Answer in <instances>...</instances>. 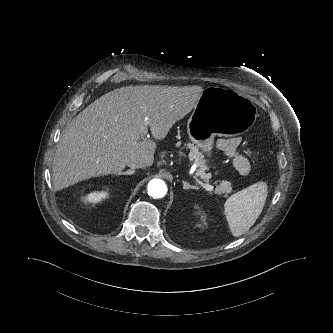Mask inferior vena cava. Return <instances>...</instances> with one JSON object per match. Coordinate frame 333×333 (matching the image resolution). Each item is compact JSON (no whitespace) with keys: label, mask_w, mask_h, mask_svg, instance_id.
Listing matches in <instances>:
<instances>
[{"label":"inferior vena cava","mask_w":333,"mask_h":333,"mask_svg":"<svg viewBox=\"0 0 333 333\" xmlns=\"http://www.w3.org/2000/svg\"><path fill=\"white\" fill-rule=\"evenodd\" d=\"M128 166L131 169L145 168L146 167V163L144 161H142V160L134 159V160H132V161H130L128 163Z\"/></svg>","instance_id":"obj_1"}]
</instances>
